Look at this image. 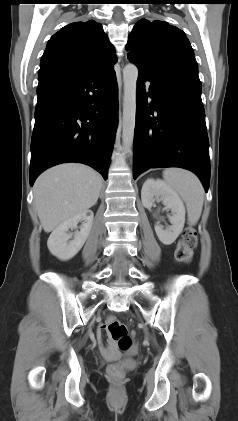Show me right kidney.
<instances>
[{
	"label": "right kidney",
	"instance_id": "ca27d5eb",
	"mask_svg": "<svg viewBox=\"0 0 238 421\" xmlns=\"http://www.w3.org/2000/svg\"><path fill=\"white\" fill-rule=\"evenodd\" d=\"M93 217V212L87 210L58 225L47 241V246L51 254L62 261L73 258L83 247L89 236L93 224ZM79 222L82 223L80 231L73 235V240H69L72 238V234L68 233V230L76 228Z\"/></svg>",
	"mask_w": 238,
	"mask_h": 421
}]
</instances>
